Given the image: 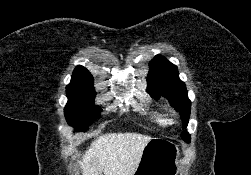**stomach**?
I'll use <instances>...</instances> for the list:
<instances>
[{
    "mask_svg": "<svg viewBox=\"0 0 251 175\" xmlns=\"http://www.w3.org/2000/svg\"><path fill=\"white\" fill-rule=\"evenodd\" d=\"M180 149L165 137H152L143 147L133 175H178Z\"/></svg>",
    "mask_w": 251,
    "mask_h": 175,
    "instance_id": "stomach-1",
    "label": "stomach"
}]
</instances>
